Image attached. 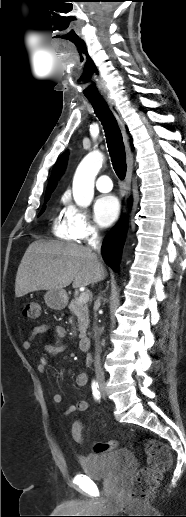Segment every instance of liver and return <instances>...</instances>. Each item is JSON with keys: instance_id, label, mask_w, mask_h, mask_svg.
Segmentation results:
<instances>
[{"instance_id": "1", "label": "liver", "mask_w": 186, "mask_h": 517, "mask_svg": "<svg viewBox=\"0 0 186 517\" xmlns=\"http://www.w3.org/2000/svg\"><path fill=\"white\" fill-rule=\"evenodd\" d=\"M106 271L88 247L59 241H35L27 248L18 267L15 296L38 290L94 285Z\"/></svg>"}]
</instances>
